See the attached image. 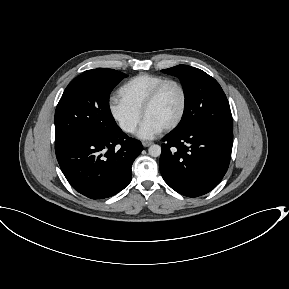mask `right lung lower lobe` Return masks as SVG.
<instances>
[{"label": "right lung lower lobe", "instance_id": "1", "mask_svg": "<svg viewBox=\"0 0 289 289\" xmlns=\"http://www.w3.org/2000/svg\"><path fill=\"white\" fill-rule=\"evenodd\" d=\"M141 151V142L118 127L110 133L80 139L56 151V157L77 192L91 199H104L130 183L132 164Z\"/></svg>", "mask_w": 289, "mask_h": 289}]
</instances>
